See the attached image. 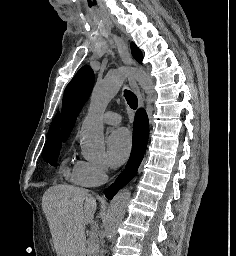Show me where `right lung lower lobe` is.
<instances>
[{"mask_svg":"<svg viewBox=\"0 0 236 256\" xmlns=\"http://www.w3.org/2000/svg\"><path fill=\"white\" fill-rule=\"evenodd\" d=\"M148 136V117L143 109H139L136 112L133 124V147L131 156L123 174L119 176L114 184L106 189L105 195L109 200L135 176L146 150Z\"/></svg>","mask_w":236,"mask_h":256,"instance_id":"98d812e1","label":"right lung lower lobe"}]
</instances>
